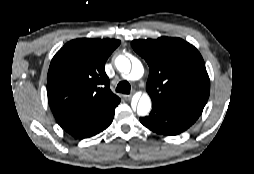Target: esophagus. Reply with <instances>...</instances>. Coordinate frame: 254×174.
I'll return each instance as SVG.
<instances>
[{"instance_id": "1", "label": "esophagus", "mask_w": 254, "mask_h": 174, "mask_svg": "<svg viewBox=\"0 0 254 174\" xmlns=\"http://www.w3.org/2000/svg\"><path fill=\"white\" fill-rule=\"evenodd\" d=\"M123 97H124V99L126 101H129L131 99L132 95L131 94H129V95H123Z\"/></svg>"}]
</instances>
